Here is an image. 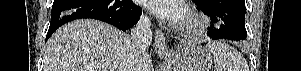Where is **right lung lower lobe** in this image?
<instances>
[{
    "instance_id": "obj_1",
    "label": "right lung lower lobe",
    "mask_w": 301,
    "mask_h": 71,
    "mask_svg": "<svg viewBox=\"0 0 301 71\" xmlns=\"http://www.w3.org/2000/svg\"><path fill=\"white\" fill-rule=\"evenodd\" d=\"M141 13L132 0H54L46 40L63 24L82 18L101 20L126 31L138 22Z\"/></svg>"
}]
</instances>
